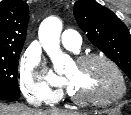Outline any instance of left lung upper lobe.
<instances>
[{"label":"left lung upper lobe","mask_w":131,"mask_h":115,"mask_svg":"<svg viewBox=\"0 0 131 115\" xmlns=\"http://www.w3.org/2000/svg\"><path fill=\"white\" fill-rule=\"evenodd\" d=\"M74 16L88 39L114 61L131 80V35L126 25L95 0H79Z\"/></svg>","instance_id":"1"}]
</instances>
